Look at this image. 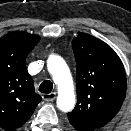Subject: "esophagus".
Returning a JSON list of instances; mask_svg holds the SVG:
<instances>
[{"instance_id":"esophagus-1","label":"esophagus","mask_w":131,"mask_h":131,"mask_svg":"<svg viewBox=\"0 0 131 131\" xmlns=\"http://www.w3.org/2000/svg\"><path fill=\"white\" fill-rule=\"evenodd\" d=\"M42 98L44 101L47 102L53 101L56 98V92H52L50 94H43Z\"/></svg>"}]
</instances>
